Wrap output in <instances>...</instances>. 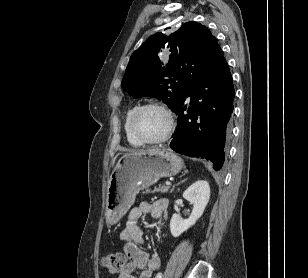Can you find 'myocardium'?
<instances>
[{
	"instance_id": "obj_1",
	"label": "myocardium",
	"mask_w": 308,
	"mask_h": 278,
	"mask_svg": "<svg viewBox=\"0 0 308 278\" xmlns=\"http://www.w3.org/2000/svg\"><path fill=\"white\" fill-rule=\"evenodd\" d=\"M148 108H156V109H160L162 110L168 119V127L166 132L164 133L163 136L157 138V139H149L144 137L137 129L136 127V119L138 117V115L148 109ZM129 127L131 130V133L133 134V136L140 141L142 144H149V145H155V144H160L163 143L165 141H167L170 136L172 135L174 128H175V121H174V116L171 112V110L164 104L159 103V102H148L142 105H139L135 108V110L132 112L130 119H129Z\"/></svg>"
}]
</instances>
